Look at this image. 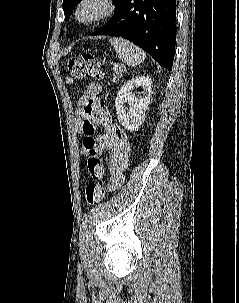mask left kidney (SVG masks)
Masks as SVG:
<instances>
[{
    "label": "left kidney",
    "mask_w": 239,
    "mask_h": 303,
    "mask_svg": "<svg viewBox=\"0 0 239 303\" xmlns=\"http://www.w3.org/2000/svg\"><path fill=\"white\" fill-rule=\"evenodd\" d=\"M141 87L142 95L137 97L131 90ZM140 93V92H139ZM152 96V79L149 76H139L129 80L122 86L115 99V108L119 123L128 131H137L144 122L145 112L148 109ZM128 103L126 113L123 105Z\"/></svg>",
    "instance_id": "1"
}]
</instances>
